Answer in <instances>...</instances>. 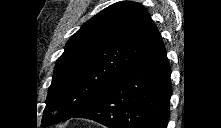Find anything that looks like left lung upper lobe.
Wrapping results in <instances>:
<instances>
[{
    "instance_id": "5c2ea615",
    "label": "left lung upper lobe",
    "mask_w": 221,
    "mask_h": 128,
    "mask_svg": "<svg viewBox=\"0 0 221 128\" xmlns=\"http://www.w3.org/2000/svg\"><path fill=\"white\" fill-rule=\"evenodd\" d=\"M147 10L118 2L92 17L58 58L42 125L66 121L100 99L159 41ZM59 110L57 114L50 111Z\"/></svg>"
}]
</instances>
